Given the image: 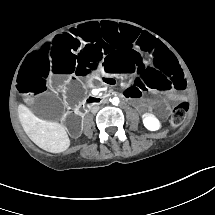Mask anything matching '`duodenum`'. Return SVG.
<instances>
[{"mask_svg":"<svg viewBox=\"0 0 215 215\" xmlns=\"http://www.w3.org/2000/svg\"><path fill=\"white\" fill-rule=\"evenodd\" d=\"M107 97H108V95H106V94H100L97 96H90L86 99L85 105H87V106H89V105H100L105 101V99ZM73 111H76V109H73Z\"/></svg>","mask_w":215,"mask_h":215,"instance_id":"duodenum-1","label":"duodenum"}]
</instances>
